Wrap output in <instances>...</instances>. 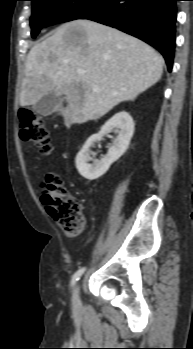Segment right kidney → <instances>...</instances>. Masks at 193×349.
Masks as SVG:
<instances>
[{"mask_svg":"<svg viewBox=\"0 0 193 349\" xmlns=\"http://www.w3.org/2000/svg\"><path fill=\"white\" fill-rule=\"evenodd\" d=\"M112 131L117 133V137L109 147L107 154L101 160H95L93 164H90V147ZM133 133L134 122L129 113L122 111L115 114L103 125L98 134L88 138L77 154L75 164L79 174L88 180H95L104 175L110 166L126 152Z\"/></svg>","mask_w":193,"mask_h":349,"instance_id":"ca27d5eb","label":"right kidney"}]
</instances>
